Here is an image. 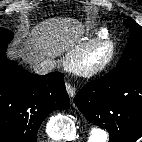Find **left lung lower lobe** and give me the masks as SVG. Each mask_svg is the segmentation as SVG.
Here are the masks:
<instances>
[{
	"mask_svg": "<svg viewBox=\"0 0 142 142\" xmlns=\"http://www.w3.org/2000/svg\"><path fill=\"white\" fill-rule=\"evenodd\" d=\"M75 104L89 121L108 130L109 142L137 140L142 136V70L110 71L88 82Z\"/></svg>",
	"mask_w": 142,
	"mask_h": 142,
	"instance_id": "obj_1",
	"label": "left lung lower lobe"
}]
</instances>
